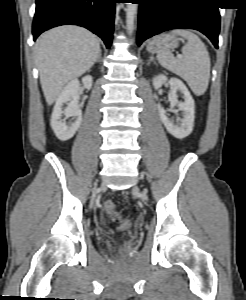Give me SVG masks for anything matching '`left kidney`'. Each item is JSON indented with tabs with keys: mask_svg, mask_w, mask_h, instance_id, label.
Wrapping results in <instances>:
<instances>
[{
	"mask_svg": "<svg viewBox=\"0 0 246 300\" xmlns=\"http://www.w3.org/2000/svg\"><path fill=\"white\" fill-rule=\"evenodd\" d=\"M166 82L170 85V93L168 94V101L171 107L178 106L179 110L183 112V118L179 120V124L176 125L172 120H170L166 111L158 105V111L160 119L167 131L177 139H183L190 135L194 127L195 118V102L192 98L189 90L185 84L178 78L168 79L165 75H158L153 78V86L155 89H159ZM177 91L183 94L184 102H178Z\"/></svg>",
	"mask_w": 246,
	"mask_h": 300,
	"instance_id": "5707ae66",
	"label": "left kidney"
}]
</instances>
